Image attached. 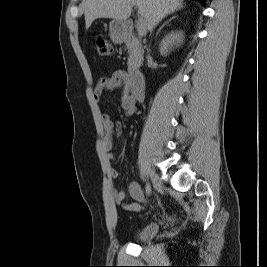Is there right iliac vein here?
Masks as SVG:
<instances>
[{
	"mask_svg": "<svg viewBox=\"0 0 267 267\" xmlns=\"http://www.w3.org/2000/svg\"><path fill=\"white\" fill-rule=\"evenodd\" d=\"M150 180L156 190H161L163 188L162 182L159 177L152 171L149 172Z\"/></svg>",
	"mask_w": 267,
	"mask_h": 267,
	"instance_id": "obj_1",
	"label": "right iliac vein"
}]
</instances>
